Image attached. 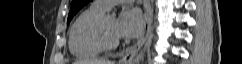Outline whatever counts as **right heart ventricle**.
Instances as JSON below:
<instances>
[{"instance_id":"1","label":"right heart ventricle","mask_w":242,"mask_h":64,"mask_svg":"<svg viewBox=\"0 0 242 64\" xmlns=\"http://www.w3.org/2000/svg\"><path fill=\"white\" fill-rule=\"evenodd\" d=\"M105 12L106 10L92 4L77 16L70 27L68 36V47L73 56L78 58H90L100 53V51L85 42L82 33L85 26L92 19L105 14Z\"/></svg>"}]
</instances>
